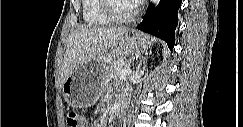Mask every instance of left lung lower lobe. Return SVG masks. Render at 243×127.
Instances as JSON below:
<instances>
[{
	"label": "left lung lower lobe",
	"instance_id": "1",
	"mask_svg": "<svg viewBox=\"0 0 243 127\" xmlns=\"http://www.w3.org/2000/svg\"><path fill=\"white\" fill-rule=\"evenodd\" d=\"M180 5L181 0H161L156 8L150 4L143 21L137 28L165 40L168 47L173 49Z\"/></svg>",
	"mask_w": 243,
	"mask_h": 127
}]
</instances>
